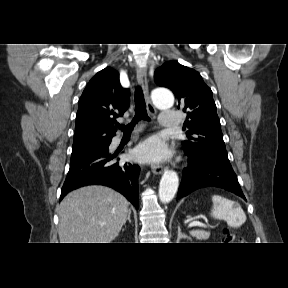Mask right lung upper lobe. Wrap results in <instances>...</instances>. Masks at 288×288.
Segmentation results:
<instances>
[{
	"label": "right lung upper lobe",
	"instance_id": "right-lung-upper-lobe-1",
	"mask_svg": "<svg viewBox=\"0 0 288 288\" xmlns=\"http://www.w3.org/2000/svg\"><path fill=\"white\" fill-rule=\"evenodd\" d=\"M129 103L130 92L121 86L119 73L111 67L99 71L79 100L72 150L109 143L117 130L115 119Z\"/></svg>",
	"mask_w": 288,
	"mask_h": 288
}]
</instances>
